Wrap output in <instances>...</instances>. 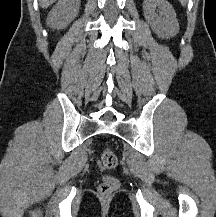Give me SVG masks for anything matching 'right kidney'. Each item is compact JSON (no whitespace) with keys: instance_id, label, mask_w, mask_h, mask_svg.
<instances>
[{"instance_id":"obj_1","label":"right kidney","mask_w":216,"mask_h":217,"mask_svg":"<svg viewBox=\"0 0 216 217\" xmlns=\"http://www.w3.org/2000/svg\"><path fill=\"white\" fill-rule=\"evenodd\" d=\"M80 0H59L47 17V24L52 28L67 27L78 15Z\"/></svg>"}]
</instances>
